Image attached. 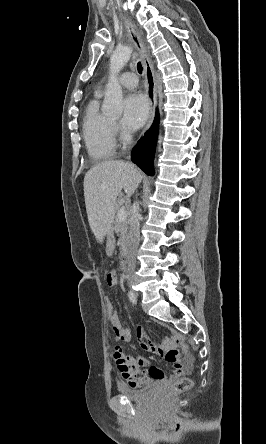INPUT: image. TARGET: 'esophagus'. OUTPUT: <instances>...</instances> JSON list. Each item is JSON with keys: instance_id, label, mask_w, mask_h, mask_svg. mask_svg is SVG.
I'll return each mask as SVG.
<instances>
[{"instance_id": "obj_1", "label": "esophagus", "mask_w": 266, "mask_h": 444, "mask_svg": "<svg viewBox=\"0 0 266 444\" xmlns=\"http://www.w3.org/2000/svg\"><path fill=\"white\" fill-rule=\"evenodd\" d=\"M123 20L127 29V32L134 42L135 46L137 47L142 60L144 64V72H145V78H146V85H147V96L149 100L150 105V112H149V118L146 125L145 130L149 129L151 126L156 112V105H157V91H156V82L154 77V71L151 64V61L149 59V56L147 54L145 45L140 37V34L137 32L135 26L133 23L126 17L123 16Z\"/></svg>"}]
</instances>
